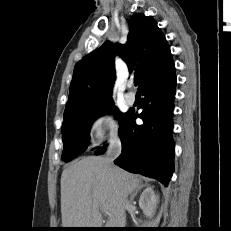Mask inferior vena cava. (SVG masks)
I'll return each mask as SVG.
<instances>
[{"label":"inferior vena cava","instance_id":"602c4592","mask_svg":"<svg viewBox=\"0 0 231 231\" xmlns=\"http://www.w3.org/2000/svg\"><path fill=\"white\" fill-rule=\"evenodd\" d=\"M121 150V140L118 135L115 134L109 139V145L106 152V163L109 166L113 165V161L121 154ZM124 201L125 203L127 202L126 199Z\"/></svg>","mask_w":231,"mask_h":231}]
</instances>
